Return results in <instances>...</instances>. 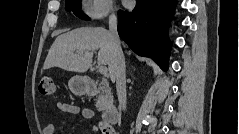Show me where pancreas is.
Segmentation results:
<instances>
[{
  "label": "pancreas",
  "mask_w": 239,
  "mask_h": 134,
  "mask_svg": "<svg viewBox=\"0 0 239 134\" xmlns=\"http://www.w3.org/2000/svg\"><path fill=\"white\" fill-rule=\"evenodd\" d=\"M99 89L102 91V95L98 97L96 107L98 111H103L107 105L113 102V96L110 88L106 84H102Z\"/></svg>",
  "instance_id": "obj_1"
}]
</instances>
